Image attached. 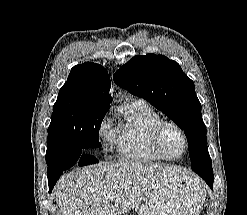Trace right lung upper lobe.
<instances>
[{
  "mask_svg": "<svg viewBox=\"0 0 247 215\" xmlns=\"http://www.w3.org/2000/svg\"><path fill=\"white\" fill-rule=\"evenodd\" d=\"M111 87L108 72L99 64L85 62L74 66L60 92L70 91L83 101L109 107Z\"/></svg>",
  "mask_w": 247,
  "mask_h": 215,
  "instance_id": "1",
  "label": "right lung upper lobe"
}]
</instances>
